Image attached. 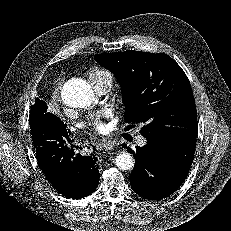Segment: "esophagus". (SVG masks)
<instances>
[{
	"label": "esophagus",
	"mask_w": 231,
	"mask_h": 231,
	"mask_svg": "<svg viewBox=\"0 0 231 231\" xmlns=\"http://www.w3.org/2000/svg\"><path fill=\"white\" fill-rule=\"evenodd\" d=\"M101 147L105 150H112L115 146V143L112 140L103 139L100 143Z\"/></svg>",
	"instance_id": "obj_1"
}]
</instances>
